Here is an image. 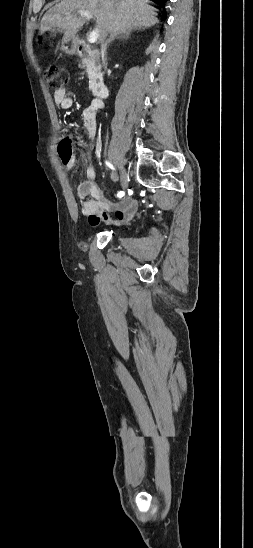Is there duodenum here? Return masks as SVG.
Here are the masks:
<instances>
[{"instance_id": "duodenum-1", "label": "duodenum", "mask_w": 253, "mask_h": 548, "mask_svg": "<svg viewBox=\"0 0 253 548\" xmlns=\"http://www.w3.org/2000/svg\"><path fill=\"white\" fill-rule=\"evenodd\" d=\"M77 53L83 58L97 57L100 54L98 50H93L85 45H79ZM93 93L99 98H106L108 96V89L105 85L98 83L94 86Z\"/></svg>"}]
</instances>
